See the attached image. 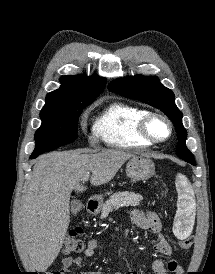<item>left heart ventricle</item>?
I'll return each mask as SVG.
<instances>
[{"label": "left heart ventricle", "instance_id": "b2bd125f", "mask_svg": "<svg viewBox=\"0 0 215 274\" xmlns=\"http://www.w3.org/2000/svg\"><path fill=\"white\" fill-rule=\"evenodd\" d=\"M151 131H152V134L156 138H160V139L166 137L167 134H168V128H167V126L161 120H155L152 123Z\"/></svg>", "mask_w": 215, "mask_h": 274}]
</instances>
